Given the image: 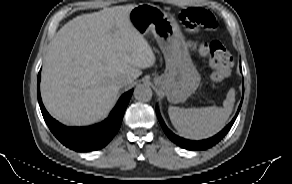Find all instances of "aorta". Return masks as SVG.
Wrapping results in <instances>:
<instances>
[{
	"label": "aorta",
	"mask_w": 292,
	"mask_h": 184,
	"mask_svg": "<svg viewBox=\"0 0 292 184\" xmlns=\"http://www.w3.org/2000/svg\"><path fill=\"white\" fill-rule=\"evenodd\" d=\"M134 97L140 102H148L152 99V89L145 84H139L134 89Z\"/></svg>",
	"instance_id": "aorta-1"
}]
</instances>
